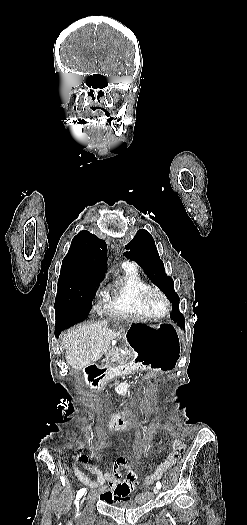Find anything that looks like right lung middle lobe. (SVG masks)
<instances>
[{"label": "right lung middle lobe", "mask_w": 247, "mask_h": 525, "mask_svg": "<svg viewBox=\"0 0 247 525\" xmlns=\"http://www.w3.org/2000/svg\"><path fill=\"white\" fill-rule=\"evenodd\" d=\"M104 276L87 272H61L55 299V326L70 327L89 315L95 288Z\"/></svg>", "instance_id": "right-lung-middle-lobe-1"}]
</instances>
